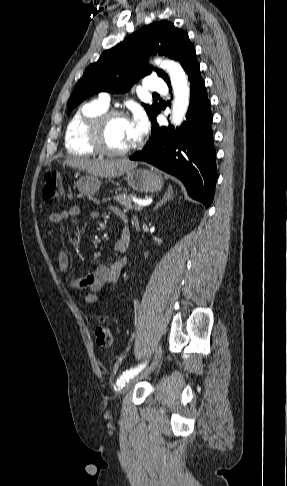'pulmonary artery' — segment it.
Returning <instances> with one entry per match:
<instances>
[{
    "label": "pulmonary artery",
    "instance_id": "e3ab8cb5",
    "mask_svg": "<svg viewBox=\"0 0 287 486\" xmlns=\"http://www.w3.org/2000/svg\"><path fill=\"white\" fill-rule=\"evenodd\" d=\"M144 87L146 90L150 92H160L165 93L167 92V85L166 83L156 76H150L145 80ZM99 99L109 105L110 97L106 93L100 94Z\"/></svg>",
    "mask_w": 287,
    "mask_h": 486
}]
</instances>
